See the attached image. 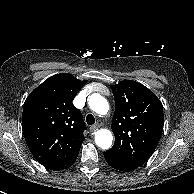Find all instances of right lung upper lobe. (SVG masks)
Returning <instances> with one entry per match:
<instances>
[{"instance_id": "cb5924a9", "label": "right lung upper lobe", "mask_w": 194, "mask_h": 194, "mask_svg": "<svg viewBox=\"0 0 194 194\" xmlns=\"http://www.w3.org/2000/svg\"><path fill=\"white\" fill-rule=\"evenodd\" d=\"M85 84L71 74H56L25 100L23 135L34 158L48 169H67L78 156L86 125L72 101Z\"/></svg>"}]
</instances>
